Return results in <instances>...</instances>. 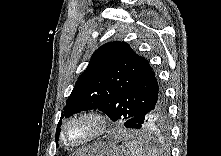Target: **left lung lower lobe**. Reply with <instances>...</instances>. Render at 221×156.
I'll use <instances>...</instances> for the list:
<instances>
[{
  "instance_id": "obj_1",
  "label": "left lung lower lobe",
  "mask_w": 221,
  "mask_h": 156,
  "mask_svg": "<svg viewBox=\"0 0 221 156\" xmlns=\"http://www.w3.org/2000/svg\"><path fill=\"white\" fill-rule=\"evenodd\" d=\"M168 103L166 95L162 90V96L155 106L125 121L126 128L150 130V131H169Z\"/></svg>"
}]
</instances>
